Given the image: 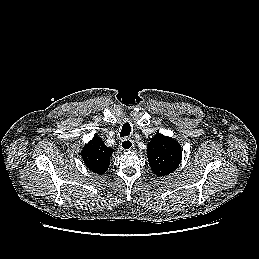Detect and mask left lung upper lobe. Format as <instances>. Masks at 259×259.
I'll list each match as a JSON object with an SVG mask.
<instances>
[{
  "label": "left lung upper lobe",
  "instance_id": "obj_1",
  "mask_svg": "<svg viewBox=\"0 0 259 259\" xmlns=\"http://www.w3.org/2000/svg\"><path fill=\"white\" fill-rule=\"evenodd\" d=\"M147 155L152 171L162 177L172 173L179 166L182 150L177 141L158 133L149 142Z\"/></svg>",
  "mask_w": 259,
  "mask_h": 259
}]
</instances>
